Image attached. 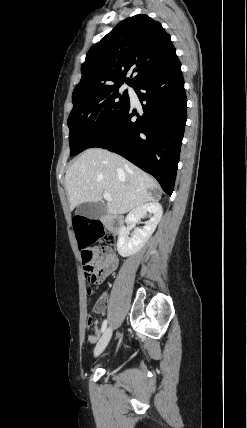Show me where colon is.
<instances>
[{
  "instance_id": "1",
  "label": "colon",
  "mask_w": 247,
  "mask_h": 428,
  "mask_svg": "<svg viewBox=\"0 0 247 428\" xmlns=\"http://www.w3.org/2000/svg\"><path fill=\"white\" fill-rule=\"evenodd\" d=\"M73 225L76 226V249L81 251L85 279L90 284L97 283L101 278L106 259L102 255L96 257L94 252L89 249V245L98 243L99 238L102 237L108 244H113L115 237L111 233H106L101 223L92 221L91 217H85L84 212L74 213ZM91 323L92 318L89 317L87 325L90 326Z\"/></svg>"
}]
</instances>
